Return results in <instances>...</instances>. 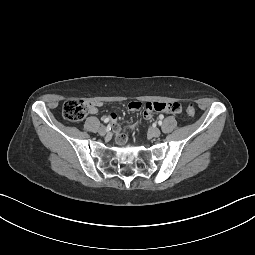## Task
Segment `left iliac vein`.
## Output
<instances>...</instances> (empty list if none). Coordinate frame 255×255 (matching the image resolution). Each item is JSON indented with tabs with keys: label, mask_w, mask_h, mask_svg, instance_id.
<instances>
[{
	"label": "left iliac vein",
	"mask_w": 255,
	"mask_h": 255,
	"mask_svg": "<svg viewBox=\"0 0 255 255\" xmlns=\"http://www.w3.org/2000/svg\"><path fill=\"white\" fill-rule=\"evenodd\" d=\"M150 134L152 137L158 138L161 135V131L158 128H151Z\"/></svg>",
	"instance_id": "obj_1"
}]
</instances>
